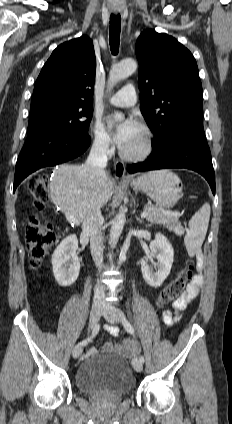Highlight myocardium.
I'll use <instances>...</instances> for the list:
<instances>
[{"mask_svg":"<svg viewBox=\"0 0 232 424\" xmlns=\"http://www.w3.org/2000/svg\"><path fill=\"white\" fill-rule=\"evenodd\" d=\"M139 128L144 134L143 147L136 152H129L125 149L120 150V155L127 161H142L146 159L154 149V136L151 129L145 124H139Z\"/></svg>","mask_w":232,"mask_h":424,"instance_id":"1","label":"myocardium"}]
</instances>
